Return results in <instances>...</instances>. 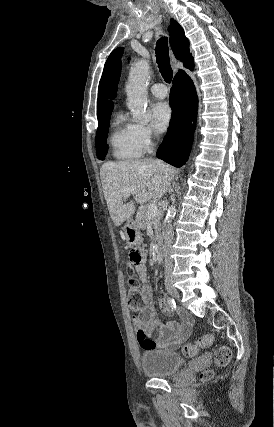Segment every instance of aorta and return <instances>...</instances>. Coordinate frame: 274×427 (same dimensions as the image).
<instances>
[{
    "instance_id": "1",
    "label": "aorta",
    "mask_w": 274,
    "mask_h": 427,
    "mask_svg": "<svg viewBox=\"0 0 274 427\" xmlns=\"http://www.w3.org/2000/svg\"><path fill=\"white\" fill-rule=\"evenodd\" d=\"M148 77L149 64L145 60H140L131 69L126 84L128 108L133 117L140 122H146L149 119L146 112ZM175 214L176 209L175 206L172 205L167 210L165 223H169L175 217Z\"/></svg>"
}]
</instances>
